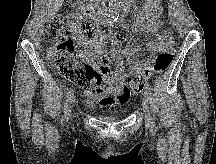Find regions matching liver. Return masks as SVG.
I'll list each match as a JSON object with an SVG mask.
<instances>
[{
	"instance_id": "obj_1",
	"label": "liver",
	"mask_w": 216,
	"mask_h": 164,
	"mask_svg": "<svg viewBox=\"0 0 216 164\" xmlns=\"http://www.w3.org/2000/svg\"><path fill=\"white\" fill-rule=\"evenodd\" d=\"M48 1L50 5L49 15L52 16L59 10L64 0H48Z\"/></svg>"
}]
</instances>
